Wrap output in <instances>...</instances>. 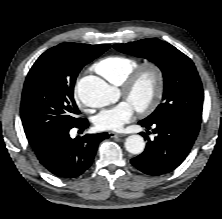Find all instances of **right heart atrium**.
Here are the masks:
<instances>
[{"label": "right heart atrium", "mask_w": 222, "mask_h": 219, "mask_svg": "<svg viewBox=\"0 0 222 219\" xmlns=\"http://www.w3.org/2000/svg\"><path fill=\"white\" fill-rule=\"evenodd\" d=\"M77 98L80 100V101H84L85 99H84V96L82 95V94H80V93H77Z\"/></svg>", "instance_id": "d8ad5b80"}]
</instances>
